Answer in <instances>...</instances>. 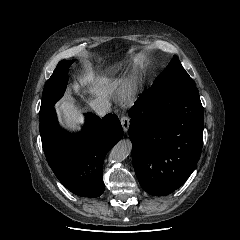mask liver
I'll return each mask as SVG.
<instances>
[{"label":"liver","mask_w":240,"mask_h":240,"mask_svg":"<svg viewBox=\"0 0 240 240\" xmlns=\"http://www.w3.org/2000/svg\"><path fill=\"white\" fill-rule=\"evenodd\" d=\"M107 84L108 79L102 78L91 89V92L95 93L97 96L106 97L110 93V88L107 87ZM56 109L67 126L74 129L77 128V124L81 122V117L78 109L75 107L74 103L71 100H63L61 103L56 105Z\"/></svg>","instance_id":"1"}]
</instances>
